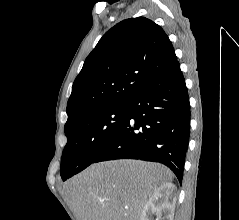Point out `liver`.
<instances>
[{
  "instance_id": "obj_1",
  "label": "liver",
  "mask_w": 239,
  "mask_h": 220,
  "mask_svg": "<svg viewBox=\"0 0 239 220\" xmlns=\"http://www.w3.org/2000/svg\"><path fill=\"white\" fill-rule=\"evenodd\" d=\"M173 180L163 165L139 160L92 164L64 185L77 220H141L154 190Z\"/></svg>"
}]
</instances>
